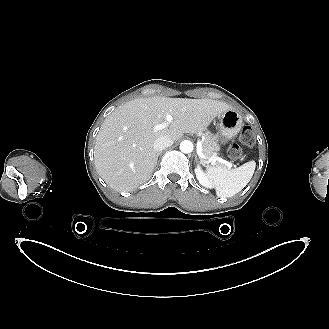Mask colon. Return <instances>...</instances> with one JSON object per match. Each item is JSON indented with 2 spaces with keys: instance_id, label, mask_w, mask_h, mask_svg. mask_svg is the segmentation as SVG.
I'll use <instances>...</instances> for the list:
<instances>
[{
  "instance_id": "obj_1",
  "label": "colon",
  "mask_w": 329,
  "mask_h": 329,
  "mask_svg": "<svg viewBox=\"0 0 329 329\" xmlns=\"http://www.w3.org/2000/svg\"><path fill=\"white\" fill-rule=\"evenodd\" d=\"M241 143L247 146H252L255 143V136L251 127L245 126L239 137ZM229 155L231 158L237 159L241 156V149L238 145H232L229 148Z\"/></svg>"
}]
</instances>
